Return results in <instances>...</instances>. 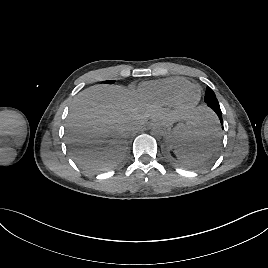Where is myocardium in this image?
<instances>
[{"mask_svg": "<svg viewBox=\"0 0 268 268\" xmlns=\"http://www.w3.org/2000/svg\"><path fill=\"white\" fill-rule=\"evenodd\" d=\"M191 89H197L198 91V96L196 98L195 101H193L192 103H185L184 102V96L186 95V93L191 90ZM201 99V90L198 86L196 85H188L184 88H182L174 97V102H175V105L177 106V108L180 110V111H189L191 109H193L200 101Z\"/></svg>", "mask_w": 268, "mask_h": 268, "instance_id": "1", "label": "myocardium"}]
</instances>
